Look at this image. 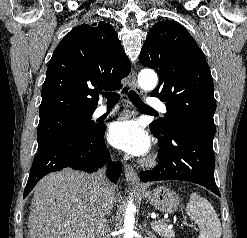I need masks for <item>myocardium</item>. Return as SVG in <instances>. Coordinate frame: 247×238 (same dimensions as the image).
<instances>
[{"label":"myocardium","mask_w":247,"mask_h":238,"mask_svg":"<svg viewBox=\"0 0 247 238\" xmlns=\"http://www.w3.org/2000/svg\"><path fill=\"white\" fill-rule=\"evenodd\" d=\"M144 164L146 166H153L155 164V160H154V158H148L145 160Z\"/></svg>","instance_id":"obj_1"}]
</instances>
